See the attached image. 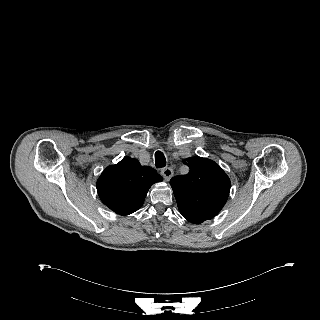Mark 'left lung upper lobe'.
Masks as SVG:
<instances>
[{
	"label": "left lung upper lobe",
	"mask_w": 320,
	"mask_h": 320,
	"mask_svg": "<svg viewBox=\"0 0 320 320\" xmlns=\"http://www.w3.org/2000/svg\"><path fill=\"white\" fill-rule=\"evenodd\" d=\"M190 171L170 180L178 208L195 216L211 219L225 205L230 179L214 161L192 157L184 160Z\"/></svg>",
	"instance_id": "1"
}]
</instances>
